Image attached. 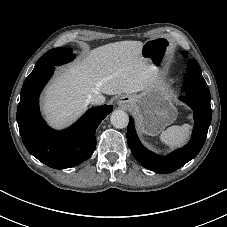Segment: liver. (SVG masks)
<instances>
[{
	"instance_id": "liver-1",
	"label": "liver",
	"mask_w": 227,
	"mask_h": 227,
	"mask_svg": "<svg viewBox=\"0 0 227 227\" xmlns=\"http://www.w3.org/2000/svg\"><path fill=\"white\" fill-rule=\"evenodd\" d=\"M143 45L140 41L109 43L59 73L42 99L50 124L63 127L76 119L86 110L91 93L136 94L151 88L158 68L141 56Z\"/></svg>"
}]
</instances>
